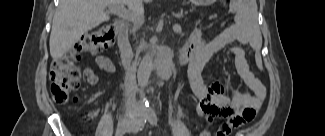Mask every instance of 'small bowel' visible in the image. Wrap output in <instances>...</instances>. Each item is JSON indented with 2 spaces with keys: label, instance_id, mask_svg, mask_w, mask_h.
<instances>
[{
  "label": "small bowel",
  "instance_id": "obj_1",
  "mask_svg": "<svg viewBox=\"0 0 325 136\" xmlns=\"http://www.w3.org/2000/svg\"><path fill=\"white\" fill-rule=\"evenodd\" d=\"M253 33L245 26V22L239 19L234 25L225 28L214 36H207L203 30H196L187 43L195 48L196 53L188 70V81L196 99V111L208 124L221 118L225 122L218 132L222 136L229 135L232 128H239L252 122L266 98V87L253 72L250 71L242 46L253 45ZM229 47L228 56L233 58L236 71L245 85L253 92L247 94L238 91L229 82L215 83L206 86L201 78L203 65L216 53ZM75 48H69L68 54L75 55ZM79 59L81 56H75ZM84 61L82 58L79 60ZM96 65L106 74L115 72V66L105 55L96 57ZM84 79L89 85H96L99 81L97 74L86 68ZM74 100H77L76 98ZM98 111L92 110L85 115L87 121L92 120Z\"/></svg>",
  "mask_w": 325,
  "mask_h": 136
}]
</instances>
